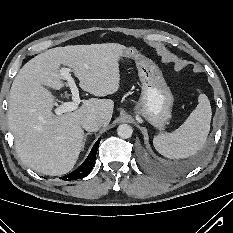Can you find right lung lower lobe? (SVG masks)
<instances>
[{
    "label": "right lung lower lobe",
    "instance_id": "right-lung-lower-lobe-1",
    "mask_svg": "<svg viewBox=\"0 0 233 233\" xmlns=\"http://www.w3.org/2000/svg\"><path fill=\"white\" fill-rule=\"evenodd\" d=\"M100 141H101V138H99L96 141V143L92 147L86 160L76 170H74L70 174H67L61 177V179L64 181H70V180H76V179H81L85 177L92 170L95 164V158H96V154H97Z\"/></svg>",
    "mask_w": 233,
    "mask_h": 233
}]
</instances>
